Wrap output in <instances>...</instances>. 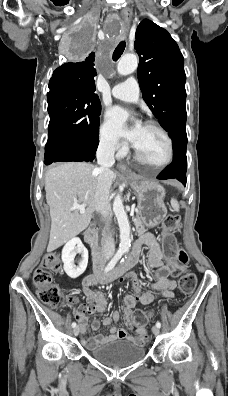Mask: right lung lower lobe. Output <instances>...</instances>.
Wrapping results in <instances>:
<instances>
[{
	"instance_id": "98d812e1",
	"label": "right lung lower lobe",
	"mask_w": 228,
	"mask_h": 396,
	"mask_svg": "<svg viewBox=\"0 0 228 396\" xmlns=\"http://www.w3.org/2000/svg\"><path fill=\"white\" fill-rule=\"evenodd\" d=\"M94 159V158H93ZM78 155L68 144L62 140H48L45 146V164L49 165L58 161H93Z\"/></svg>"
}]
</instances>
